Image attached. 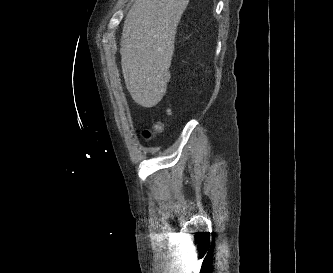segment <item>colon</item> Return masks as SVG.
Segmentation results:
<instances>
[{"label":"colon","mask_w":333,"mask_h":273,"mask_svg":"<svg viewBox=\"0 0 333 273\" xmlns=\"http://www.w3.org/2000/svg\"><path fill=\"white\" fill-rule=\"evenodd\" d=\"M163 129V123L161 121H157L153 124L151 130H144L143 136L145 139H150L154 133H158Z\"/></svg>","instance_id":"colon-1"}]
</instances>
